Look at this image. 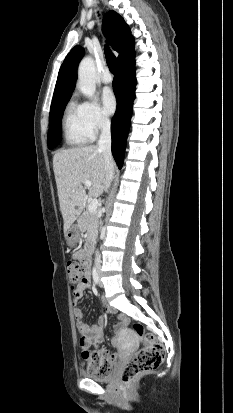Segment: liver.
Here are the masks:
<instances>
[{"mask_svg":"<svg viewBox=\"0 0 233 413\" xmlns=\"http://www.w3.org/2000/svg\"><path fill=\"white\" fill-rule=\"evenodd\" d=\"M53 170L66 234L83 210L87 198L84 182L89 180L92 183L89 196L98 197L103 193L106 163L103 152L90 145L58 151L53 157Z\"/></svg>","mask_w":233,"mask_h":413,"instance_id":"liver-1","label":"liver"}]
</instances>
